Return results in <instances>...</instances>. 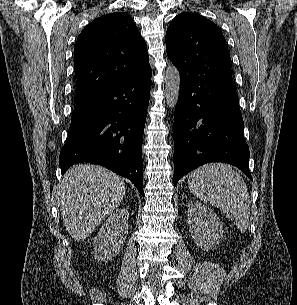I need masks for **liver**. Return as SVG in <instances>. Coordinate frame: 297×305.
<instances>
[{
    "label": "liver",
    "instance_id": "liver-1",
    "mask_svg": "<svg viewBox=\"0 0 297 305\" xmlns=\"http://www.w3.org/2000/svg\"><path fill=\"white\" fill-rule=\"evenodd\" d=\"M125 195L123 179L94 164H77L64 175L58 206L66 230L75 241L85 240L120 205Z\"/></svg>",
    "mask_w": 297,
    "mask_h": 305
}]
</instances>
